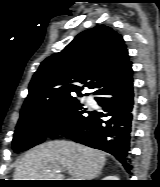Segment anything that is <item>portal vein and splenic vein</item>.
<instances>
[{"label": "portal vein and splenic vein", "mask_w": 160, "mask_h": 187, "mask_svg": "<svg viewBox=\"0 0 160 187\" xmlns=\"http://www.w3.org/2000/svg\"><path fill=\"white\" fill-rule=\"evenodd\" d=\"M58 172H60V171H58ZM73 178H69L68 180H72Z\"/></svg>", "instance_id": "portal-vein-and-splenic-vein-1"}]
</instances>
